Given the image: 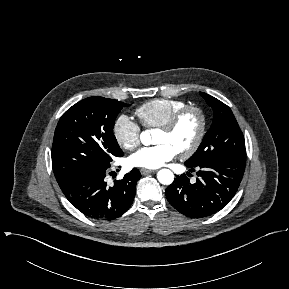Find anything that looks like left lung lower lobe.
Here are the masks:
<instances>
[{"label":"left lung lower lobe","instance_id":"obj_1","mask_svg":"<svg viewBox=\"0 0 289 289\" xmlns=\"http://www.w3.org/2000/svg\"><path fill=\"white\" fill-rule=\"evenodd\" d=\"M187 167H194L186 164ZM196 183L191 184L185 174L176 176L166 189V198L180 213L202 218L224 208L234 197L245 170V160L218 158L196 166Z\"/></svg>","mask_w":289,"mask_h":289}]
</instances>
